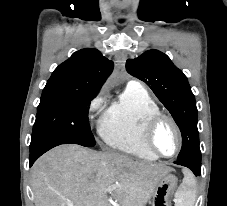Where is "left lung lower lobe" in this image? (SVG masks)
<instances>
[{
    "label": "left lung lower lobe",
    "mask_w": 227,
    "mask_h": 206,
    "mask_svg": "<svg viewBox=\"0 0 227 206\" xmlns=\"http://www.w3.org/2000/svg\"><path fill=\"white\" fill-rule=\"evenodd\" d=\"M174 163L189 168L196 176H199L201 173V162L184 159V160H177Z\"/></svg>",
    "instance_id": "0a47b994"
}]
</instances>
